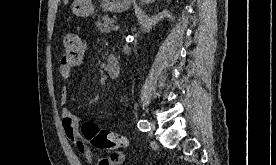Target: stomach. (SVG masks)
Instances as JSON below:
<instances>
[{"instance_id":"stomach-1","label":"stomach","mask_w":276,"mask_h":165,"mask_svg":"<svg viewBox=\"0 0 276 165\" xmlns=\"http://www.w3.org/2000/svg\"><path fill=\"white\" fill-rule=\"evenodd\" d=\"M105 11L122 12L130 7L131 0H101ZM72 13L79 17H88L94 13V6L91 0H74Z\"/></svg>"}]
</instances>
